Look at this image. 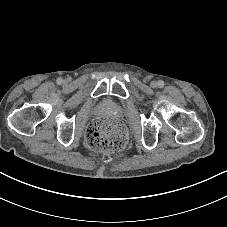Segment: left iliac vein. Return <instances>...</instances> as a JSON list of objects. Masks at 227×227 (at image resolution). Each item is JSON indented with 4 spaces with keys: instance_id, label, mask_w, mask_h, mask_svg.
Returning <instances> with one entry per match:
<instances>
[{
    "instance_id": "left-iliac-vein-1",
    "label": "left iliac vein",
    "mask_w": 227,
    "mask_h": 227,
    "mask_svg": "<svg viewBox=\"0 0 227 227\" xmlns=\"http://www.w3.org/2000/svg\"><path fill=\"white\" fill-rule=\"evenodd\" d=\"M150 85H151L152 88L158 87V83H157L156 81H152V82L150 83Z\"/></svg>"
}]
</instances>
